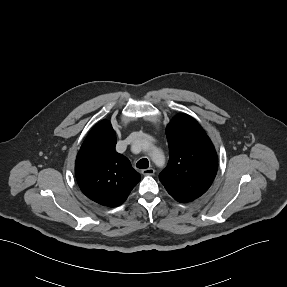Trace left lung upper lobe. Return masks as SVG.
Here are the masks:
<instances>
[{"label":"left lung upper lobe","mask_w":287,"mask_h":287,"mask_svg":"<svg viewBox=\"0 0 287 287\" xmlns=\"http://www.w3.org/2000/svg\"><path fill=\"white\" fill-rule=\"evenodd\" d=\"M170 159L159 179L178 202H190L211 186L218 168L215 148L198 122L175 116L166 128Z\"/></svg>","instance_id":"obj_1"}]
</instances>
